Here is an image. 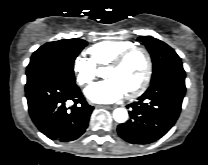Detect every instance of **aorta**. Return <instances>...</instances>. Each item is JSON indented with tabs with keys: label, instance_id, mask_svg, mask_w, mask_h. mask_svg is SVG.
I'll use <instances>...</instances> for the list:
<instances>
[{
	"label": "aorta",
	"instance_id": "762f6f07",
	"mask_svg": "<svg viewBox=\"0 0 208 165\" xmlns=\"http://www.w3.org/2000/svg\"><path fill=\"white\" fill-rule=\"evenodd\" d=\"M103 68H99L98 74L100 75ZM113 118L118 123H124L128 119V112L125 108H116L113 112Z\"/></svg>",
	"mask_w": 208,
	"mask_h": 165
}]
</instances>
